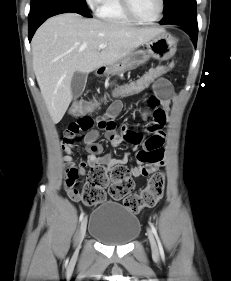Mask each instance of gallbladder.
Here are the masks:
<instances>
[{"label": "gallbladder", "mask_w": 231, "mask_h": 281, "mask_svg": "<svg viewBox=\"0 0 231 281\" xmlns=\"http://www.w3.org/2000/svg\"><path fill=\"white\" fill-rule=\"evenodd\" d=\"M87 75L81 72H75L71 81V90L74 98L79 97L86 86Z\"/></svg>", "instance_id": "bac80fb5"}]
</instances>
